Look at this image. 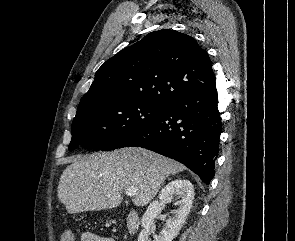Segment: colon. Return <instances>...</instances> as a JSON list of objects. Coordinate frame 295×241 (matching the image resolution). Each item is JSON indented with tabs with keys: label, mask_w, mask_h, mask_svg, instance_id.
Masks as SVG:
<instances>
[{
	"label": "colon",
	"mask_w": 295,
	"mask_h": 241,
	"mask_svg": "<svg viewBox=\"0 0 295 241\" xmlns=\"http://www.w3.org/2000/svg\"><path fill=\"white\" fill-rule=\"evenodd\" d=\"M61 241H74V234L71 230H65L62 234Z\"/></svg>",
	"instance_id": "5ec220e1"
}]
</instances>
